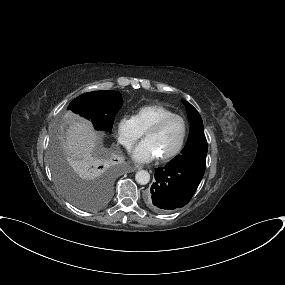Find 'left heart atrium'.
<instances>
[{
    "label": "left heart atrium",
    "mask_w": 285,
    "mask_h": 285,
    "mask_svg": "<svg viewBox=\"0 0 285 285\" xmlns=\"http://www.w3.org/2000/svg\"><path fill=\"white\" fill-rule=\"evenodd\" d=\"M131 156L136 162L146 163L157 158L158 154L150 141L145 139L131 151Z\"/></svg>",
    "instance_id": "obj_1"
}]
</instances>
